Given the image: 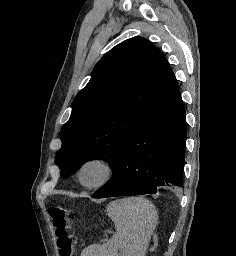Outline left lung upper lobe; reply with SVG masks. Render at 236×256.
Wrapping results in <instances>:
<instances>
[{
  "mask_svg": "<svg viewBox=\"0 0 236 256\" xmlns=\"http://www.w3.org/2000/svg\"><path fill=\"white\" fill-rule=\"evenodd\" d=\"M178 89L164 55L134 37L111 49L94 67L60 131L56 164L63 178L93 159L114 172L138 122Z\"/></svg>",
  "mask_w": 236,
  "mask_h": 256,
  "instance_id": "5c2ea615",
  "label": "left lung upper lobe"
}]
</instances>
